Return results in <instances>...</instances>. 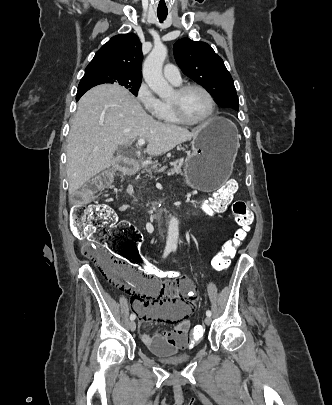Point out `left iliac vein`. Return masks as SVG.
<instances>
[{
  "mask_svg": "<svg viewBox=\"0 0 332 405\" xmlns=\"http://www.w3.org/2000/svg\"><path fill=\"white\" fill-rule=\"evenodd\" d=\"M204 322H205L206 325H210L211 322H212L211 317H208V316H207V317L205 318Z\"/></svg>",
  "mask_w": 332,
  "mask_h": 405,
  "instance_id": "1",
  "label": "left iliac vein"
}]
</instances>
